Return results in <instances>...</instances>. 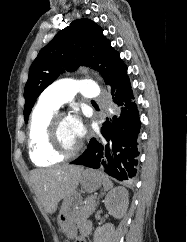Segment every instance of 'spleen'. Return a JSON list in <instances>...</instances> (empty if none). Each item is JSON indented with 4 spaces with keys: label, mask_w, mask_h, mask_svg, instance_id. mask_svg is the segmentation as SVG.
I'll use <instances>...</instances> for the list:
<instances>
[{
    "label": "spleen",
    "mask_w": 187,
    "mask_h": 242,
    "mask_svg": "<svg viewBox=\"0 0 187 242\" xmlns=\"http://www.w3.org/2000/svg\"><path fill=\"white\" fill-rule=\"evenodd\" d=\"M102 179H103V187H104V190L108 191V190L112 189L113 183L109 179V177L106 176L105 174H102Z\"/></svg>",
    "instance_id": "spleen-1"
}]
</instances>
